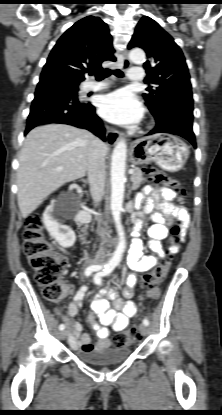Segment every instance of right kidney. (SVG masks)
<instances>
[{
    "instance_id": "ca27d5eb",
    "label": "right kidney",
    "mask_w": 222,
    "mask_h": 415,
    "mask_svg": "<svg viewBox=\"0 0 222 415\" xmlns=\"http://www.w3.org/2000/svg\"><path fill=\"white\" fill-rule=\"evenodd\" d=\"M43 223L49 234L64 248L72 247L76 241L74 231L67 225L60 223L57 219L56 207L50 205L43 213Z\"/></svg>"
}]
</instances>
